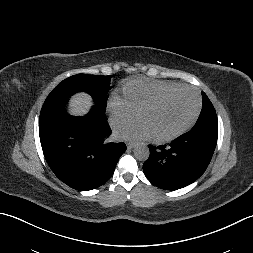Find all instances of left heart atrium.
<instances>
[{"instance_id":"39dd6f15","label":"left heart atrium","mask_w":253,"mask_h":253,"mask_svg":"<svg viewBox=\"0 0 253 253\" xmlns=\"http://www.w3.org/2000/svg\"><path fill=\"white\" fill-rule=\"evenodd\" d=\"M116 136L122 139H140L151 137V134L145 122L138 118L135 121L117 125Z\"/></svg>"}]
</instances>
